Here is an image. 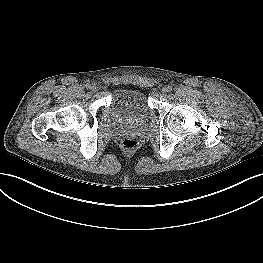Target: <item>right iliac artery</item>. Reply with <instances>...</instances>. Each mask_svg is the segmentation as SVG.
I'll return each instance as SVG.
<instances>
[{"mask_svg": "<svg viewBox=\"0 0 263 263\" xmlns=\"http://www.w3.org/2000/svg\"><path fill=\"white\" fill-rule=\"evenodd\" d=\"M86 87L90 89V88H91V84L88 83V84L86 85Z\"/></svg>", "mask_w": 263, "mask_h": 263, "instance_id": "82829eb1", "label": "right iliac artery"}]
</instances>
